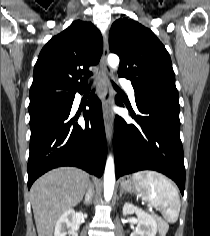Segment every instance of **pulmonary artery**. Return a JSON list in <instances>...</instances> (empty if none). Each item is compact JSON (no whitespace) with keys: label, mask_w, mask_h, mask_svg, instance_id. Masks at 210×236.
<instances>
[{"label":"pulmonary artery","mask_w":210,"mask_h":236,"mask_svg":"<svg viewBox=\"0 0 210 236\" xmlns=\"http://www.w3.org/2000/svg\"><path fill=\"white\" fill-rule=\"evenodd\" d=\"M121 85L128 91L129 96H130V100L132 102L133 105H136V101H135V91L132 87V84L130 83V81L126 80V79H121L120 80Z\"/></svg>","instance_id":"e3ab8cb5"}]
</instances>
